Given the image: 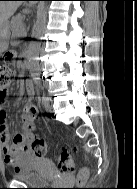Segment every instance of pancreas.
<instances>
[{
    "label": "pancreas",
    "mask_w": 137,
    "mask_h": 189,
    "mask_svg": "<svg viewBox=\"0 0 137 189\" xmlns=\"http://www.w3.org/2000/svg\"><path fill=\"white\" fill-rule=\"evenodd\" d=\"M11 24L14 37H21L26 34L25 25L23 23V16L21 14L13 17L11 20Z\"/></svg>",
    "instance_id": "obj_1"
}]
</instances>
